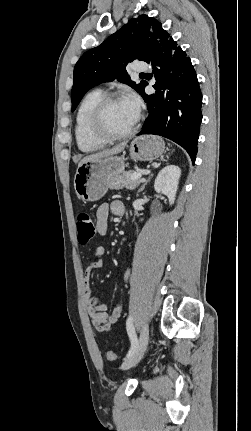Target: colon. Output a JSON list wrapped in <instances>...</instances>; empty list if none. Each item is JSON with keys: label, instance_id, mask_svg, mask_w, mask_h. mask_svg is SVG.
Returning a JSON list of instances; mask_svg holds the SVG:
<instances>
[{"label": "colon", "instance_id": "1", "mask_svg": "<svg viewBox=\"0 0 251 431\" xmlns=\"http://www.w3.org/2000/svg\"><path fill=\"white\" fill-rule=\"evenodd\" d=\"M78 242L87 245L94 238L96 233L95 224L91 215L87 212H80L76 219ZM106 357L109 361L117 360V355L108 351Z\"/></svg>", "mask_w": 251, "mask_h": 431}]
</instances>
